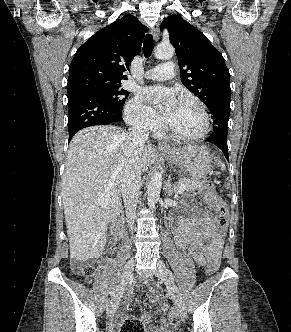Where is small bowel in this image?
<instances>
[{
	"instance_id": "c3829d8e",
	"label": "small bowel",
	"mask_w": 291,
	"mask_h": 332,
	"mask_svg": "<svg viewBox=\"0 0 291 332\" xmlns=\"http://www.w3.org/2000/svg\"><path fill=\"white\" fill-rule=\"evenodd\" d=\"M224 238V230L217 227L215 222L208 214H201L192 220H181L176 229L177 246L183 250L187 256L203 265L207 257H219ZM204 243H206L204 245ZM129 296H133V292H129ZM148 299L156 302L161 311H167L168 305L161 298L160 291L154 287H150ZM150 316L143 312L140 314V322L148 324ZM172 322L164 319L162 322L150 329L148 332H171Z\"/></svg>"
}]
</instances>
